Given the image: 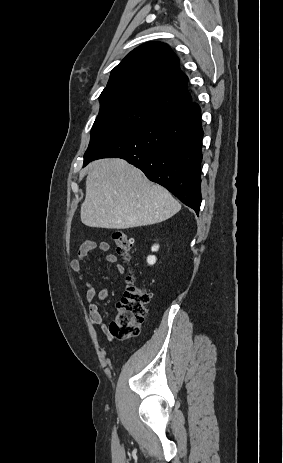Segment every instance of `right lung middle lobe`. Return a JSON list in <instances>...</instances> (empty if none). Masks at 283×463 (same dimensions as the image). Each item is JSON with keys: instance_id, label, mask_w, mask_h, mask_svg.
Masks as SVG:
<instances>
[{"instance_id": "obj_1", "label": "right lung middle lobe", "mask_w": 283, "mask_h": 463, "mask_svg": "<svg viewBox=\"0 0 283 463\" xmlns=\"http://www.w3.org/2000/svg\"><path fill=\"white\" fill-rule=\"evenodd\" d=\"M100 104L84 157L91 156L117 137L161 112L154 106L119 93L101 94Z\"/></svg>"}]
</instances>
